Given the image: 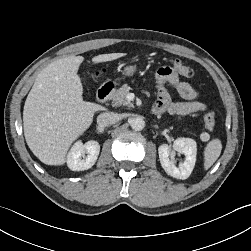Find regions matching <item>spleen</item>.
I'll return each mask as SVG.
<instances>
[{
  "instance_id": "spleen-1",
  "label": "spleen",
  "mask_w": 251,
  "mask_h": 251,
  "mask_svg": "<svg viewBox=\"0 0 251 251\" xmlns=\"http://www.w3.org/2000/svg\"><path fill=\"white\" fill-rule=\"evenodd\" d=\"M222 144L219 139L211 140L204 150V168L209 169L221 154Z\"/></svg>"
}]
</instances>
